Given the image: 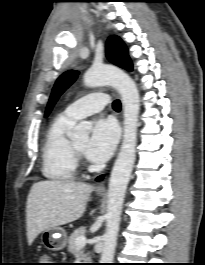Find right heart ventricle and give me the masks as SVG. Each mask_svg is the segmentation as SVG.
Masks as SVG:
<instances>
[{"instance_id":"obj_1","label":"right heart ventricle","mask_w":205,"mask_h":265,"mask_svg":"<svg viewBox=\"0 0 205 265\" xmlns=\"http://www.w3.org/2000/svg\"><path fill=\"white\" fill-rule=\"evenodd\" d=\"M75 123L63 114L49 127L42 147V174L53 181H68L75 177L76 158L67 130Z\"/></svg>"}]
</instances>
